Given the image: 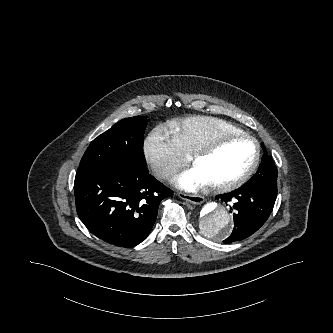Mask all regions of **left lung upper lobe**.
Wrapping results in <instances>:
<instances>
[{"mask_svg":"<svg viewBox=\"0 0 333 333\" xmlns=\"http://www.w3.org/2000/svg\"><path fill=\"white\" fill-rule=\"evenodd\" d=\"M264 152L258 171L245 185L265 186L277 189V167L265 149Z\"/></svg>","mask_w":333,"mask_h":333,"instance_id":"left-lung-upper-lobe-1","label":"left lung upper lobe"}]
</instances>
